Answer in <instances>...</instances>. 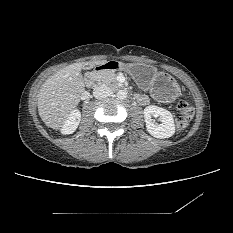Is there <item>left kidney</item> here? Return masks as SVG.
<instances>
[{"mask_svg":"<svg viewBox=\"0 0 233 233\" xmlns=\"http://www.w3.org/2000/svg\"><path fill=\"white\" fill-rule=\"evenodd\" d=\"M144 119L146 122L147 131L154 137L165 139L175 133L174 119L168 110L150 105L144 109ZM159 117L161 123H156L152 118Z\"/></svg>","mask_w":233,"mask_h":233,"instance_id":"5707ae66","label":"left kidney"}]
</instances>
